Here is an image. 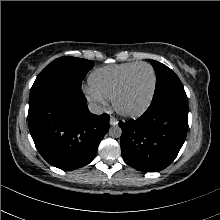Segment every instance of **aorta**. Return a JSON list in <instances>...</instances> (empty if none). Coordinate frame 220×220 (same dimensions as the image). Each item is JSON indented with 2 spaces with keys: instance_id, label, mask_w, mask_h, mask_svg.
<instances>
[{
  "instance_id": "1",
  "label": "aorta",
  "mask_w": 220,
  "mask_h": 220,
  "mask_svg": "<svg viewBox=\"0 0 220 220\" xmlns=\"http://www.w3.org/2000/svg\"><path fill=\"white\" fill-rule=\"evenodd\" d=\"M122 134V130L118 125H114L109 129V135L113 138H119Z\"/></svg>"
}]
</instances>
